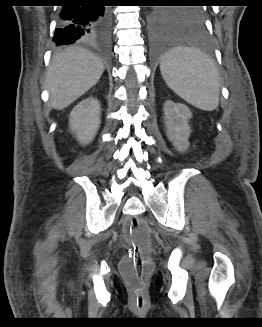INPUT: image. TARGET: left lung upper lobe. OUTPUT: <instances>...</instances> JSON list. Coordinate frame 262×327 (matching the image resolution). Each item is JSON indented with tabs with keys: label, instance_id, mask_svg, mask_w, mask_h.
<instances>
[{
	"label": "left lung upper lobe",
	"instance_id": "1",
	"mask_svg": "<svg viewBox=\"0 0 262 327\" xmlns=\"http://www.w3.org/2000/svg\"><path fill=\"white\" fill-rule=\"evenodd\" d=\"M171 13L178 19L187 23H202L203 13L199 7L173 9Z\"/></svg>",
	"mask_w": 262,
	"mask_h": 327
}]
</instances>
